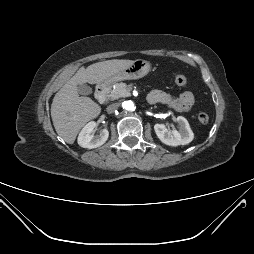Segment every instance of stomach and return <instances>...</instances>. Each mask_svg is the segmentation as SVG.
<instances>
[{
	"mask_svg": "<svg viewBox=\"0 0 254 254\" xmlns=\"http://www.w3.org/2000/svg\"><path fill=\"white\" fill-rule=\"evenodd\" d=\"M149 71L150 63L143 59H137L129 67L109 77L107 80H105V83L139 79L147 75Z\"/></svg>",
	"mask_w": 254,
	"mask_h": 254,
	"instance_id": "stomach-1",
	"label": "stomach"
}]
</instances>
